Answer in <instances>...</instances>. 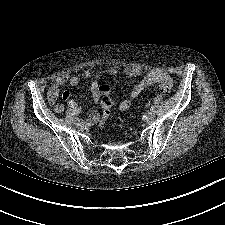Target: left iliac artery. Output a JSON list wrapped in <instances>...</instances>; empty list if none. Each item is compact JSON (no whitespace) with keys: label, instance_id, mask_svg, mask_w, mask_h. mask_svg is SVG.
<instances>
[{"label":"left iliac artery","instance_id":"44dca946","mask_svg":"<svg viewBox=\"0 0 225 225\" xmlns=\"http://www.w3.org/2000/svg\"><path fill=\"white\" fill-rule=\"evenodd\" d=\"M150 110H154L153 106H151Z\"/></svg>","mask_w":225,"mask_h":225}]
</instances>
